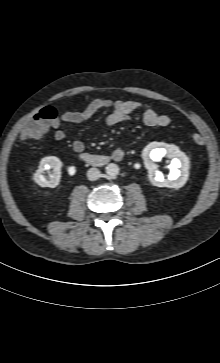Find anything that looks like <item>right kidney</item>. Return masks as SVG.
<instances>
[{
    "label": "right kidney",
    "instance_id": "obj_1",
    "mask_svg": "<svg viewBox=\"0 0 220 363\" xmlns=\"http://www.w3.org/2000/svg\"><path fill=\"white\" fill-rule=\"evenodd\" d=\"M62 162L58 157L48 156L41 160L40 165L33 175L34 181L41 187L55 188L61 178ZM53 169L50 179L43 175L45 170Z\"/></svg>",
    "mask_w": 220,
    "mask_h": 363
}]
</instances>
